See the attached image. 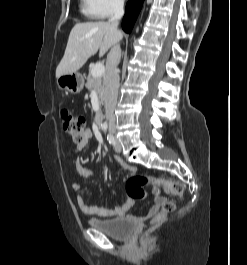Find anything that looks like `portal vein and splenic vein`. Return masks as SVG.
Listing matches in <instances>:
<instances>
[{
  "label": "portal vein and splenic vein",
  "mask_w": 247,
  "mask_h": 265,
  "mask_svg": "<svg viewBox=\"0 0 247 265\" xmlns=\"http://www.w3.org/2000/svg\"><path fill=\"white\" fill-rule=\"evenodd\" d=\"M105 67L101 63H97L96 65L93 66L91 70V74L93 77H100L104 74Z\"/></svg>",
  "instance_id": "1"
}]
</instances>
